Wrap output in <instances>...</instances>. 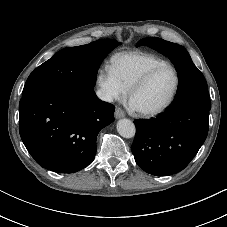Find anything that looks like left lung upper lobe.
<instances>
[{
  "instance_id": "left-lung-upper-lobe-1",
  "label": "left lung upper lobe",
  "mask_w": 227,
  "mask_h": 227,
  "mask_svg": "<svg viewBox=\"0 0 227 227\" xmlns=\"http://www.w3.org/2000/svg\"><path fill=\"white\" fill-rule=\"evenodd\" d=\"M147 45L168 56L179 73V85L175 100L167 110L180 107H201L210 110L211 103L206 80L181 45L160 38H144L137 46Z\"/></svg>"
}]
</instances>
